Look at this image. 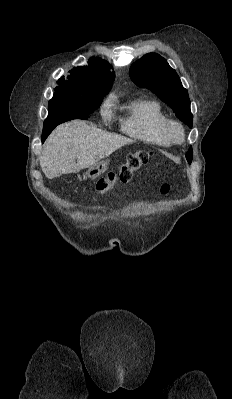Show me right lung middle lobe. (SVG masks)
<instances>
[{"label": "right lung middle lobe", "mask_w": 232, "mask_h": 399, "mask_svg": "<svg viewBox=\"0 0 232 399\" xmlns=\"http://www.w3.org/2000/svg\"><path fill=\"white\" fill-rule=\"evenodd\" d=\"M106 94L62 93L55 89L53 98L49 101V110L76 117L91 115Z\"/></svg>", "instance_id": "obj_1"}]
</instances>
